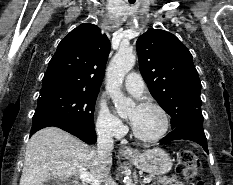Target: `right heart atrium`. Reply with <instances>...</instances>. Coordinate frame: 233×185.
Wrapping results in <instances>:
<instances>
[{
  "instance_id": "right-heart-atrium-1",
  "label": "right heart atrium",
  "mask_w": 233,
  "mask_h": 185,
  "mask_svg": "<svg viewBox=\"0 0 233 185\" xmlns=\"http://www.w3.org/2000/svg\"><path fill=\"white\" fill-rule=\"evenodd\" d=\"M95 129L99 135L113 139L123 137L127 131L122 121L104 103L96 106Z\"/></svg>"
}]
</instances>
